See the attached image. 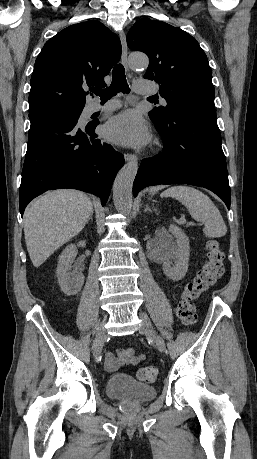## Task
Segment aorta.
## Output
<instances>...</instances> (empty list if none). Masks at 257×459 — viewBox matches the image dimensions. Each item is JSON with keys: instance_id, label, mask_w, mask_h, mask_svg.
Wrapping results in <instances>:
<instances>
[{"instance_id": "obj_1", "label": "aorta", "mask_w": 257, "mask_h": 459, "mask_svg": "<svg viewBox=\"0 0 257 459\" xmlns=\"http://www.w3.org/2000/svg\"><path fill=\"white\" fill-rule=\"evenodd\" d=\"M148 58L142 54H132L130 65L134 69L147 68ZM138 171L136 159L126 163L117 174L113 184V201L115 208L122 214H129L132 208V188L135 176Z\"/></svg>"}]
</instances>
